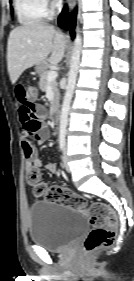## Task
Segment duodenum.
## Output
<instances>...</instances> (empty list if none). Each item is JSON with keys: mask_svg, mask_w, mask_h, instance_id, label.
Instances as JSON below:
<instances>
[{"mask_svg": "<svg viewBox=\"0 0 134 281\" xmlns=\"http://www.w3.org/2000/svg\"><path fill=\"white\" fill-rule=\"evenodd\" d=\"M58 113H59L58 106L54 105L51 108V112H50V119L52 123H56L58 121Z\"/></svg>", "mask_w": 134, "mask_h": 281, "instance_id": "1", "label": "duodenum"}]
</instances>
